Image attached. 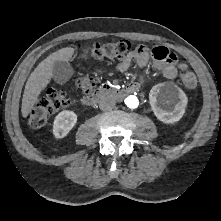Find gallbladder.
I'll use <instances>...</instances> for the list:
<instances>
[{
    "label": "gallbladder",
    "mask_w": 221,
    "mask_h": 221,
    "mask_svg": "<svg viewBox=\"0 0 221 221\" xmlns=\"http://www.w3.org/2000/svg\"><path fill=\"white\" fill-rule=\"evenodd\" d=\"M73 72L69 62L56 61L53 65V79L58 84H65L72 77Z\"/></svg>",
    "instance_id": "gallbladder-1"
}]
</instances>
